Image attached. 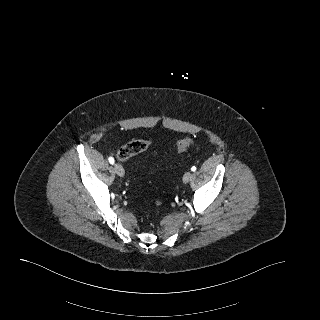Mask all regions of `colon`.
<instances>
[{"label":"colon","instance_id":"colon-1","mask_svg":"<svg viewBox=\"0 0 320 320\" xmlns=\"http://www.w3.org/2000/svg\"><path fill=\"white\" fill-rule=\"evenodd\" d=\"M194 144V140L190 137L180 139L176 144L178 154L184 153L189 147ZM149 146L148 141L145 140H133L122 146L117 152V158L121 161H125L128 158L144 152ZM160 202H156V206H159Z\"/></svg>","mask_w":320,"mask_h":320}]
</instances>
